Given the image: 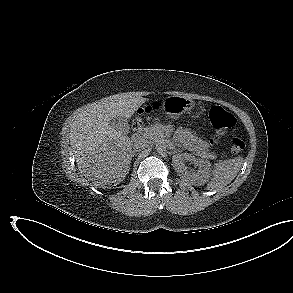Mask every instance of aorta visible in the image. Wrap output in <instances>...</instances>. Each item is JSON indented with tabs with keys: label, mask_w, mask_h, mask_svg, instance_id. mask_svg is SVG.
<instances>
[{
	"label": "aorta",
	"mask_w": 293,
	"mask_h": 293,
	"mask_svg": "<svg viewBox=\"0 0 293 293\" xmlns=\"http://www.w3.org/2000/svg\"><path fill=\"white\" fill-rule=\"evenodd\" d=\"M166 147H167L166 143L163 141H160L156 143L155 149L158 153H163L166 151Z\"/></svg>",
	"instance_id": "obj_1"
}]
</instances>
